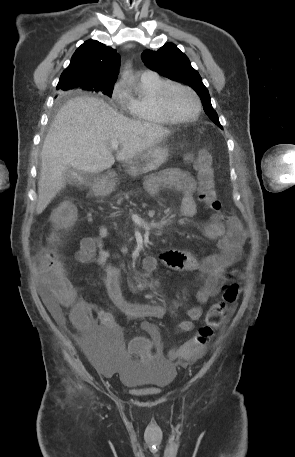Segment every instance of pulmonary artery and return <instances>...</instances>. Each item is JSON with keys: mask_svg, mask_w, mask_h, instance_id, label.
I'll return each mask as SVG.
<instances>
[{"mask_svg": "<svg viewBox=\"0 0 295 457\" xmlns=\"http://www.w3.org/2000/svg\"><path fill=\"white\" fill-rule=\"evenodd\" d=\"M153 74H154V73L151 72V71H144V72L142 73V77L150 76V75H153Z\"/></svg>", "mask_w": 295, "mask_h": 457, "instance_id": "1", "label": "pulmonary artery"}]
</instances>
